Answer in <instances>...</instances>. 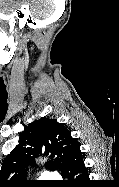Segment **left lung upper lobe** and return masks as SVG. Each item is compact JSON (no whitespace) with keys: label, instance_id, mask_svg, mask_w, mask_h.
I'll return each mask as SVG.
<instances>
[{"label":"left lung upper lobe","instance_id":"obj_1","mask_svg":"<svg viewBox=\"0 0 119 187\" xmlns=\"http://www.w3.org/2000/svg\"><path fill=\"white\" fill-rule=\"evenodd\" d=\"M78 142L71 132L55 119L41 118L25 126L20 134L19 144L7 155L0 170V187H23L31 181L25 180L28 164L34 165V158L50 154L54 161L46 167L65 172L71 151Z\"/></svg>","mask_w":119,"mask_h":187}]
</instances>
